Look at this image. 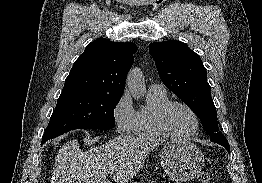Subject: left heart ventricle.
<instances>
[{
    "instance_id": "left-heart-ventricle-1",
    "label": "left heart ventricle",
    "mask_w": 262,
    "mask_h": 183,
    "mask_svg": "<svg viewBox=\"0 0 262 183\" xmlns=\"http://www.w3.org/2000/svg\"><path fill=\"white\" fill-rule=\"evenodd\" d=\"M169 128L178 134H186L194 130L195 120L191 113L181 106L171 109L167 117Z\"/></svg>"
}]
</instances>
